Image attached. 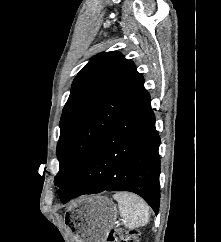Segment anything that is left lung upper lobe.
<instances>
[{"mask_svg": "<svg viewBox=\"0 0 221 242\" xmlns=\"http://www.w3.org/2000/svg\"><path fill=\"white\" fill-rule=\"evenodd\" d=\"M146 92L134 63L118 52L100 53L83 67L60 120L59 192L77 179L98 139Z\"/></svg>", "mask_w": 221, "mask_h": 242, "instance_id": "obj_1", "label": "left lung upper lobe"}]
</instances>
